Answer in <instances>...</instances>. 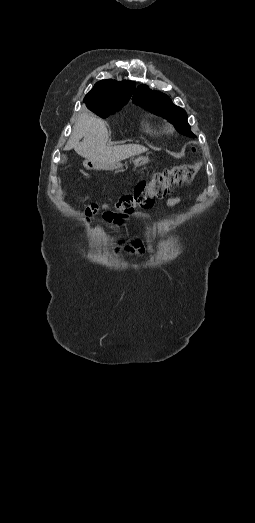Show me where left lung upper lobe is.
I'll return each instance as SVG.
<instances>
[{"instance_id":"left-lung-upper-lobe-1","label":"left lung upper lobe","mask_w":255,"mask_h":523,"mask_svg":"<svg viewBox=\"0 0 255 523\" xmlns=\"http://www.w3.org/2000/svg\"><path fill=\"white\" fill-rule=\"evenodd\" d=\"M132 99L136 105L173 123L179 133L194 137L187 123L185 110L174 105L165 94L151 90L146 85H140Z\"/></svg>"}]
</instances>
